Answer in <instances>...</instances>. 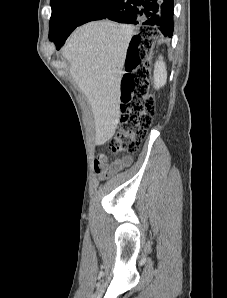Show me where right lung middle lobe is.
<instances>
[{
    "mask_svg": "<svg viewBox=\"0 0 227 298\" xmlns=\"http://www.w3.org/2000/svg\"><path fill=\"white\" fill-rule=\"evenodd\" d=\"M102 0H51L49 38L73 31Z\"/></svg>",
    "mask_w": 227,
    "mask_h": 298,
    "instance_id": "right-lung-middle-lobe-1",
    "label": "right lung middle lobe"
}]
</instances>
